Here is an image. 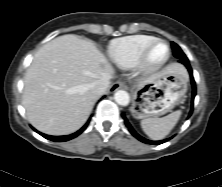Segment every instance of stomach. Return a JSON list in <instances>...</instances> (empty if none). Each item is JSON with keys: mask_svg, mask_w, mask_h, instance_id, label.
Listing matches in <instances>:
<instances>
[{"mask_svg": "<svg viewBox=\"0 0 222 187\" xmlns=\"http://www.w3.org/2000/svg\"><path fill=\"white\" fill-rule=\"evenodd\" d=\"M187 83L185 71L164 69L151 81L137 84L130 108L133 117L145 119L171 112L185 95Z\"/></svg>", "mask_w": 222, "mask_h": 187, "instance_id": "stomach-1", "label": "stomach"}]
</instances>
